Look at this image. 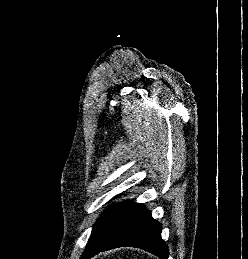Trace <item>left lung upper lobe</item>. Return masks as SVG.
I'll return each mask as SVG.
<instances>
[{
  "mask_svg": "<svg viewBox=\"0 0 248 259\" xmlns=\"http://www.w3.org/2000/svg\"><path fill=\"white\" fill-rule=\"evenodd\" d=\"M133 201H124L121 203H118L114 206L109 207L99 218L97 223L94 225L92 229L91 235H93L104 223H106L108 220H110L114 215H116L119 211L124 209L126 206L131 204Z\"/></svg>",
  "mask_w": 248,
  "mask_h": 259,
  "instance_id": "5c2ea615",
  "label": "left lung upper lobe"
}]
</instances>
